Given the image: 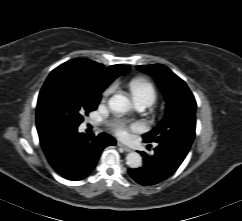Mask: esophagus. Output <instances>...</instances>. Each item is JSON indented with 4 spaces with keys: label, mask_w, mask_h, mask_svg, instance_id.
Listing matches in <instances>:
<instances>
[{
    "label": "esophagus",
    "mask_w": 242,
    "mask_h": 221,
    "mask_svg": "<svg viewBox=\"0 0 242 221\" xmlns=\"http://www.w3.org/2000/svg\"><path fill=\"white\" fill-rule=\"evenodd\" d=\"M117 145H118V147L122 148V149H123L124 151H126V152H131V151H132L131 148L125 146V145L122 144L121 142H118Z\"/></svg>",
    "instance_id": "1"
}]
</instances>
